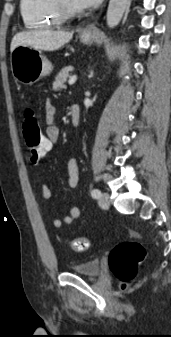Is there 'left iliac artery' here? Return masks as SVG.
<instances>
[{
  "mask_svg": "<svg viewBox=\"0 0 171 337\" xmlns=\"http://www.w3.org/2000/svg\"><path fill=\"white\" fill-rule=\"evenodd\" d=\"M91 195L93 198L98 199L101 196V192L99 189H93Z\"/></svg>",
  "mask_w": 171,
  "mask_h": 337,
  "instance_id": "1",
  "label": "left iliac artery"
}]
</instances>
